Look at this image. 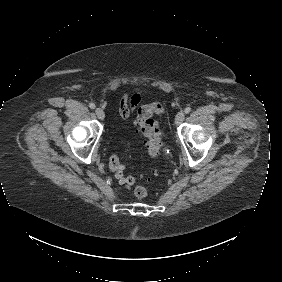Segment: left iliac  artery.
I'll return each instance as SVG.
<instances>
[{
	"instance_id": "1",
	"label": "left iliac artery",
	"mask_w": 282,
	"mask_h": 282,
	"mask_svg": "<svg viewBox=\"0 0 282 282\" xmlns=\"http://www.w3.org/2000/svg\"><path fill=\"white\" fill-rule=\"evenodd\" d=\"M191 111V107H186L185 109H184V112L187 114V113H189Z\"/></svg>"
}]
</instances>
